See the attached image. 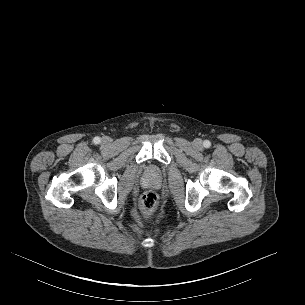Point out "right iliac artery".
Returning a JSON list of instances; mask_svg holds the SVG:
<instances>
[{
	"mask_svg": "<svg viewBox=\"0 0 305 305\" xmlns=\"http://www.w3.org/2000/svg\"><path fill=\"white\" fill-rule=\"evenodd\" d=\"M93 142H94L95 144H99V143H100V138H99V137H95V138L93 139Z\"/></svg>",
	"mask_w": 305,
	"mask_h": 305,
	"instance_id": "82829eb1",
	"label": "right iliac artery"
}]
</instances>
